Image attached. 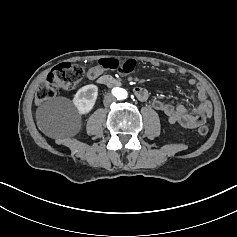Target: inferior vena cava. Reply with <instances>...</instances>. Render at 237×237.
<instances>
[{
    "label": "inferior vena cava",
    "mask_w": 237,
    "mask_h": 237,
    "mask_svg": "<svg viewBox=\"0 0 237 237\" xmlns=\"http://www.w3.org/2000/svg\"><path fill=\"white\" fill-rule=\"evenodd\" d=\"M116 99L112 94H107L104 98V105L109 106L112 102H114Z\"/></svg>",
    "instance_id": "inferior-vena-cava-1"
}]
</instances>
